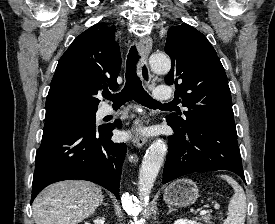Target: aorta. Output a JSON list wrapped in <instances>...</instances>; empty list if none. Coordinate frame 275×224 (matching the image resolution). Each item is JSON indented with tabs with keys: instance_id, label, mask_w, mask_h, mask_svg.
I'll return each mask as SVG.
<instances>
[{
	"instance_id": "1",
	"label": "aorta",
	"mask_w": 275,
	"mask_h": 224,
	"mask_svg": "<svg viewBox=\"0 0 275 224\" xmlns=\"http://www.w3.org/2000/svg\"><path fill=\"white\" fill-rule=\"evenodd\" d=\"M149 64L151 69L157 73H168L171 69V61L164 54H152L149 58ZM166 153V143L162 139H157L150 145L142 160L139 171L138 190L143 207L149 201V195Z\"/></svg>"
}]
</instances>
